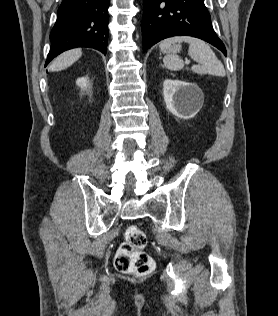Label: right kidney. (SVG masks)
<instances>
[{"instance_id": "ca27d5eb", "label": "right kidney", "mask_w": 278, "mask_h": 316, "mask_svg": "<svg viewBox=\"0 0 278 316\" xmlns=\"http://www.w3.org/2000/svg\"><path fill=\"white\" fill-rule=\"evenodd\" d=\"M76 84L81 88V89H86L89 86V79L88 77H81L78 78L76 81Z\"/></svg>"}]
</instances>
